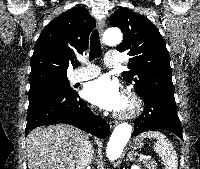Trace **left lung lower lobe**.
<instances>
[{
  "instance_id": "obj_1",
  "label": "left lung lower lobe",
  "mask_w": 200,
  "mask_h": 169,
  "mask_svg": "<svg viewBox=\"0 0 200 169\" xmlns=\"http://www.w3.org/2000/svg\"><path fill=\"white\" fill-rule=\"evenodd\" d=\"M145 108L134 121L133 136L155 129L169 130L183 139L174 94L149 91L141 97Z\"/></svg>"
}]
</instances>
